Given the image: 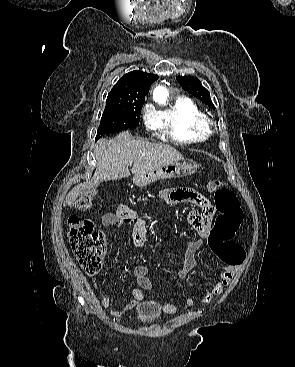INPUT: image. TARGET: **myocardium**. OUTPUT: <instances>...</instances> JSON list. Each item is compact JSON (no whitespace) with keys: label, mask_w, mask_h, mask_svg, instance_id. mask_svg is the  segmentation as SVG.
Instances as JSON below:
<instances>
[{"label":"myocardium","mask_w":295,"mask_h":367,"mask_svg":"<svg viewBox=\"0 0 295 367\" xmlns=\"http://www.w3.org/2000/svg\"><path fill=\"white\" fill-rule=\"evenodd\" d=\"M208 129H209V132H211V130H212V123L210 121L208 122Z\"/></svg>","instance_id":"myocardium-1"}]
</instances>
